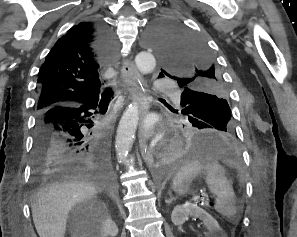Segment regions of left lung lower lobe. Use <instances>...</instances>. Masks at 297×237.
Returning <instances> with one entry per match:
<instances>
[{
  "label": "left lung lower lobe",
  "mask_w": 297,
  "mask_h": 237,
  "mask_svg": "<svg viewBox=\"0 0 297 237\" xmlns=\"http://www.w3.org/2000/svg\"><path fill=\"white\" fill-rule=\"evenodd\" d=\"M182 113L186 115L184 111ZM189 121L191 126L175 147L169 158L170 164L180 165L199 157L234 155L237 147L235 135L232 130L220 126L219 119L209 117L195 122L189 118Z\"/></svg>",
  "instance_id": "1"
}]
</instances>
